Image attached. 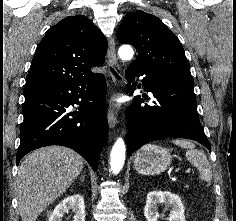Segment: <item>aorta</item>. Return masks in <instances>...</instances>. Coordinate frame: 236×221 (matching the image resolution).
<instances>
[{
	"label": "aorta",
	"mask_w": 236,
	"mask_h": 221,
	"mask_svg": "<svg viewBox=\"0 0 236 221\" xmlns=\"http://www.w3.org/2000/svg\"><path fill=\"white\" fill-rule=\"evenodd\" d=\"M118 55L122 60H131L134 51L130 45H122L118 50ZM125 153L126 147L124 140L122 138H118L112 147V151L110 154V167L113 174H118L125 161Z\"/></svg>",
	"instance_id": "obj_1"
}]
</instances>
